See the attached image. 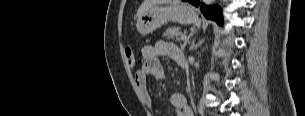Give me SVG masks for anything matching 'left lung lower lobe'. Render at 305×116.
I'll return each mask as SVG.
<instances>
[{
  "label": "left lung lower lobe",
  "mask_w": 305,
  "mask_h": 116,
  "mask_svg": "<svg viewBox=\"0 0 305 116\" xmlns=\"http://www.w3.org/2000/svg\"><path fill=\"white\" fill-rule=\"evenodd\" d=\"M187 2L193 4L196 7L199 6V0H187ZM200 9L206 18L212 19L216 21L219 25H222L223 18L221 10L217 8V6H205L204 4H202Z\"/></svg>",
  "instance_id": "0a47b994"
}]
</instances>
